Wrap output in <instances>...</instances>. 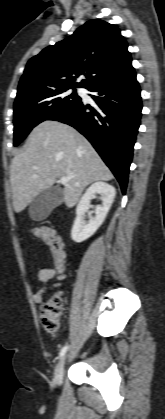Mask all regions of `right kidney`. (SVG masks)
<instances>
[{
  "instance_id": "ca27d5eb",
  "label": "right kidney",
  "mask_w": 165,
  "mask_h": 419,
  "mask_svg": "<svg viewBox=\"0 0 165 419\" xmlns=\"http://www.w3.org/2000/svg\"><path fill=\"white\" fill-rule=\"evenodd\" d=\"M95 194L101 195L102 204L96 207L95 217L88 224L83 221L85 212L91 207ZM116 196V190L106 182L93 183L84 193L76 208V218L71 230L73 241L80 243L91 237L104 222Z\"/></svg>"
}]
</instances>
